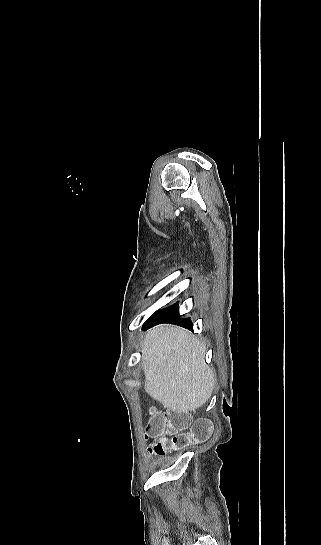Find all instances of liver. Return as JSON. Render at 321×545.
I'll return each mask as SVG.
<instances>
[{
	"label": "liver",
	"mask_w": 321,
	"mask_h": 545,
	"mask_svg": "<svg viewBox=\"0 0 321 545\" xmlns=\"http://www.w3.org/2000/svg\"><path fill=\"white\" fill-rule=\"evenodd\" d=\"M145 391L175 413H189L207 403L214 373L204 361L205 345L186 329L158 325L142 345Z\"/></svg>",
	"instance_id": "obj_1"
}]
</instances>
